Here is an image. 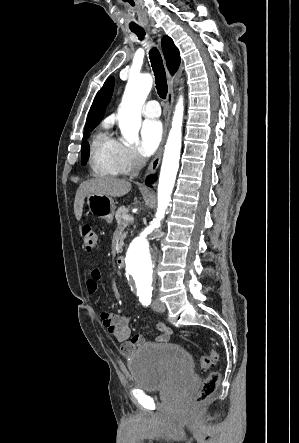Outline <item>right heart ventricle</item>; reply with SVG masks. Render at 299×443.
<instances>
[{
  "label": "right heart ventricle",
  "instance_id": "right-heart-ventricle-1",
  "mask_svg": "<svg viewBox=\"0 0 299 443\" xmlns=\"http://www.w3.org/2000/svg\"><path fill=\"white\" fill-rule=\"evenodd\" d=\"M118 141L107 132L100 131L90 146V168L94 176L115 177L121 173L118 164Z\"/></svg>",
  "mask_w": 299,
  "mask_h": 443
}]
</instances>
